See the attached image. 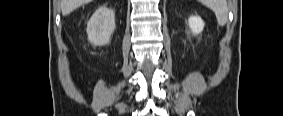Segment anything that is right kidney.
<instances>
[{
  "instance_id": "1",
  "label": "right kidney",
  "mask_w": 283,
  "mask_h": 116,
  "mask_svg": "<svg viewBox=\"0 0 283 116\" xmlns=\"http://www.w3.org/2000/svg\"><path fill=\"white\" fill-rule=\"evenodd\" d=\"M115 30V13L113 10L99 7L88 21L86 32L88 40L95 46L106 45Z\"/></svg>"
}]
</instances>
